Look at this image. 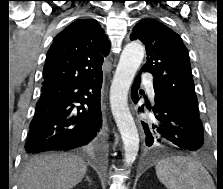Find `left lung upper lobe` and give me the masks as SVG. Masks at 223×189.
<instances>
[{
	"instance_id": "1",
	"label": "left lung upper lobe",
	"mask_w": 223,
	"mask_h": 189,
	"mask_svg": "<svg viewBox=\"0 0 223 189\" xmlns=\"http://www.w3.org/2000/svg\"><path fill=\"white\" fill-rule=\"evenodd\" d=\"M131 40L146 46L142 71L154 76V85L171 106L199 117L188 51L181 37L164 24L146 19L133 29Z\"/></svg>"
}]
</instances>
